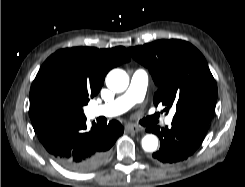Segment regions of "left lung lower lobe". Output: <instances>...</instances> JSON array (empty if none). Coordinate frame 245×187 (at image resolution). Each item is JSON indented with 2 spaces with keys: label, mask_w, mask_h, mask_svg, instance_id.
<instances>
[{
  "label": "left lung lower lobe",
  "mask_w": 245,
  "mask_h": 187,
  "mask_svg": "<svg viewBox=\"0 0 245 187\" xmlns=\"http://www.w3.org/2000/svg\"><path fill=\"white\" fill-rule=\"evenodd\" d=\"M209 123L204 121L172 122L171 127L147 128L160 138L159 151L153 153V158L163 163H176L187 159L201 145Z\"/></svg>",
  "instance_id": "0a47b994"
}]
</instances>
